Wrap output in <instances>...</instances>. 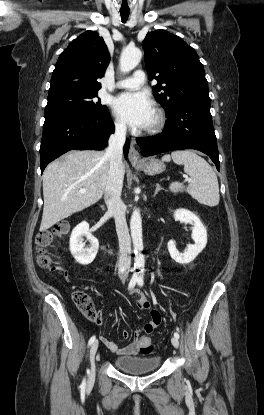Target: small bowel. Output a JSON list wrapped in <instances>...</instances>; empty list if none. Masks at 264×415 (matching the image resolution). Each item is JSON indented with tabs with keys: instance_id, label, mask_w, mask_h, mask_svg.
<instances>
[{
	"instance_id": "small-bowel-1",
	"label": "small bowel",
	"mask_w": 264,
	"mask_h": 415,
	"mask_svg": "<svg viewBox=\"0 0 264 415\" xmlns=\"http://www.w3.org/2000/svg\"><path fill=\"white\" fill-rule=\"evenodd\" d=\"M136 299V305L141 310L150 309L149 300L141 294L139 291H134ZM161 322V314L157 310H151L149 320L141 327V330L145 333H151ZM98 324L103 323V318L100 316ZM122 337L124 339L130 338V334L127 331H123ZM101 342L108 348L112 353L120 356H136L139 352L147 354L143 344L138 340V332L134 335V341L125 347H119L118 344L108 338L102 336Z\"/></svg>"
}]
</instances>
